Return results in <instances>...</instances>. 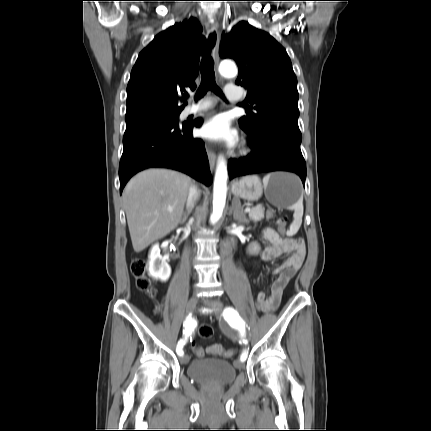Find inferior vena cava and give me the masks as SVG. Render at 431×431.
Here are the masks:
<instances>
[{
  "label": "inferior vena cava",
  "mask_w": 431,
  "mask_h": 431,
  "mask_svg": "<svg viewBox=\"0 0 431 431\" xmlns=\"http://www.w3.org/2000/svg\"><path fill=\"white\" fill-rule=\"evenodd\" d=\"M198 197H199V191L195 185H192L189 188L187 206L191 208L194 202L198 199Z\"/></svg>",
  "instance_id": "1"
}]
</instances>
